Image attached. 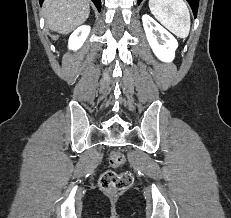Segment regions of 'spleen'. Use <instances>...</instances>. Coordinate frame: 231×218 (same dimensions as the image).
Instances as JSON below:
<instances>
[{
	"label": "spleen",
	"instance_id": "spleen-1",
	"mask_svg": "<svg viewBox=\"0 0 231 218\" xmlns=\"http://www.w3.org/2000/svg\"><path fill=\"white\" fill-rule=\"evenodd\" d=\"M152 14L177 37L186 38L190 31V13L183 0H149Z\"/></svg>",
	"mask_w": 231,
	"mask_h": 218
}]
</instances>
